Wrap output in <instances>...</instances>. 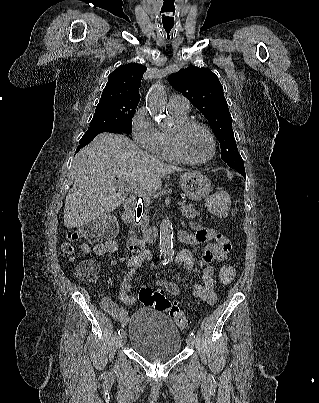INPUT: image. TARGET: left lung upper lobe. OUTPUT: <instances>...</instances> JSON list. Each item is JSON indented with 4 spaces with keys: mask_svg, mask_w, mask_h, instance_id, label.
I'll return each instance as SVG.
<instances>
[{
    "mask_svg": "<svg viewBox=\"0 0 319 403\" xmlns=\"http://www.w3.org/2000/svg\"><path fill=\"white\" fill-rule=\"evenodd\" d=\"M170 85L181 92L209 121L221 147V158L236 170H245L232 129V118L218 77L207 68L188 67L168 77Z\"/></svg>",
    "mask_w": 319,
    "mask_h": 403,
    "instance_id": "left-lung-upper-lobe-1",
    "label": "left lung upper lobe"
}]
</instances>
